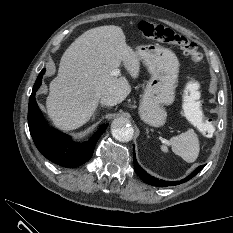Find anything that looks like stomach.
I'll return each instance as SVG.
<instances>
[{
	"label": "stomach",
	"mask_w": 233,
	"mask_h": 233,
	"mask_svg": "<svg viewBox=\"0 0 233 233\" xmlns=\"http://www.w3.org/2000/svg\"><path fill=\"white\" fill-rule=\"evenodd\" d=\"M136 49L151 75L141 99L139 115L145 123L159 127L167 118L164 105L172 104L175 99L179 61L171 50L161 46L140 45Z\"/></svg>",
	"instance_id": "0dacf381"
}]
</instances>
